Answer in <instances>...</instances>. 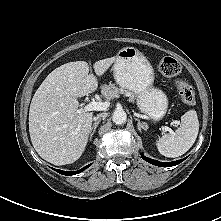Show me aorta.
Masks as SVG:
<instances>
[{
  "label": "aorta",
  "instance_id": "762f6f07",
  "mask_svg": "<svg viewBox=\"0 0 221 221\" xmlns=\"http://www.w3.org/2000/svg\"><path fill=\"white\" fill-rule=\"evenodd\" d=\"M127 114L123 110H115L112 120L116 125H122L126 122Z\"/></svg>",
  "mask_w": 221,
  "mask_h": 221
}]
</instances>
